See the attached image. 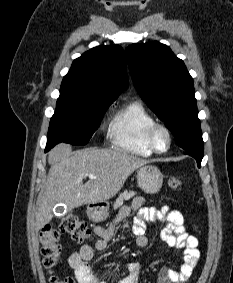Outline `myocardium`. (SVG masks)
Here are the masks:
<instances>
[{"instance_id": "obj_1", "label": "myocardium", "mask_w": 233, "mask_h": 283, "mask_svg": "<svg viewBox=\"0 0 233 283\" xmlns=\"http://www.w3.org/2000/svg\"><path fill=\"white\" fill-rule=\"evenodd\" d=\"M159 131L164 132L167 137V146L164 149H159L155 144V136ZM145 140L147 146L153 153L163 154L166 153L171 147L172 135L168 127H166L164 124L156 122L148 128L145 135Z\"/></svg>"}]
</instances>
